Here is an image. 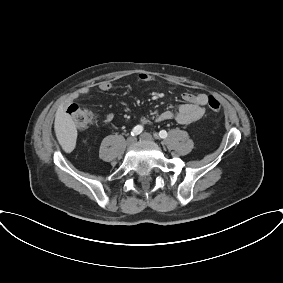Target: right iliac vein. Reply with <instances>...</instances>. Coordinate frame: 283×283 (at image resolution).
<instances>
[{
    "label": "right iliac vein",
    "mask_w": 283,
    "mask_h": 283,
    "mask_svg": "<svg viewBox=\"0 0 283 283\" xmlns=\"http://www.w3.org/2000/svg\"><path fill=\"white\" fill-rule=\"evenodd\" d=\"M135 141H136V138L133 137V136H130V137L127 138L126 143H127L128 146H131L135 143Z\"/></svg>",
    "instance_id": "obj_1"
}]
</instances>
